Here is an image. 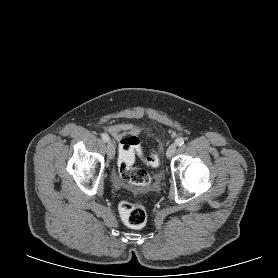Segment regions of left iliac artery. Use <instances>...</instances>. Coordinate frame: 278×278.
Segmentation results:
<instances>
[{"label": "left iliac artery", "instance_id": "1", "mask_svg": "<svg viewBox=\"0 0 278 278\" xmlns=\"http://www.w3.org/2000/svg\"><path fill=\"white\" fill-rule=\"evenodd\" d=\"M175 144L178 145V146L183 145L184 144V138L183 137L177 138L175 140Z\"/></svg>", "mask_w": 278, "mask_h": 278}]
</instances>
